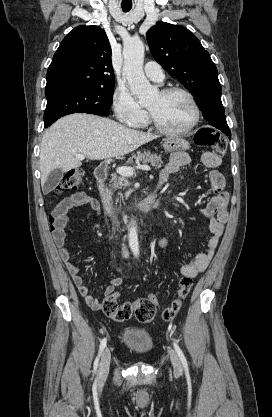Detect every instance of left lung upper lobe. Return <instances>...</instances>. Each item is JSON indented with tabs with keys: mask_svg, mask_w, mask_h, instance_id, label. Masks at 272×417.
<instances>
[{
	"mask_svg": "<svg viewBox=\"0 0 272 417\" xmlns=\"http://www.w3.org/2000/svg\"><path fill=\"white\" fill-rule=\"evenodd\" d=\"M147 42L155 60L191 91L204 118L229 133L217 68L197 37L183 26L160 21L148 30Z\"/></svg>",
	"mask_w": 272,
	"mask_h": 417,
	"instance_id": "1",
	"label": "left lung upper lobe"
}]
</instances>
